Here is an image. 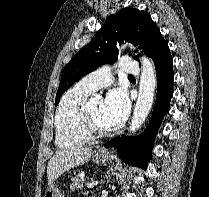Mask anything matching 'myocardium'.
Here are the masks:
<instances>
[{
	"label": "myocardium",
	"mask_w": 209,
	"mask_h": 197,
	"mask_svg": "<svg viewBox=\"0 0 209 197\" xmlns=\"http://www.w3.org/2000/svg\"><path fill=\"white\" fill-rule=\"evenodd\" d=\"M88 105L89 103L86 101L80 112L79 126L82 133L89 139L101 138L108 135L111 130L101 129L95 125L89 113Z\"/></svg>",
	"instance_id": "f54148a6"
}]
</instances>
